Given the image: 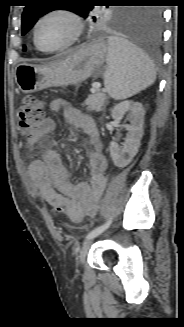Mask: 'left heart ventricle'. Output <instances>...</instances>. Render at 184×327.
I'll use <instances>...</instances> for the list:
<instances>
[{"mask_svg":"<svg viewBox=\"0 0 184 327\" xmlns=\"http://www.w3.org/2000/svg\"><path fill=\"white\" fill-rule=\"evenodd\" d=\"M72 34V22L65 16L53 15L39 25L37 39L42 47L50 49L66 43Z\"/></svg>","mask_w":184,"mask_h":327,"instance_id":"1","label":"left heart ventricle"}]
</instances>
